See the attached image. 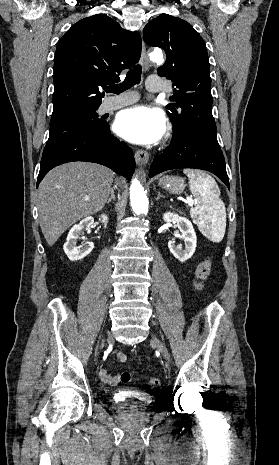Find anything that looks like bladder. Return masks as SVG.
<instances>
[{
    "label": "bladder",
    "mask_w": 279,
    "mask_h": 465,
    "mask_svg": "<svg viewBox=\"0 0 279 465\" xmlns=\"http://www.w3.org/2000/svg\"><path fill=\"white\" fill-rule=\"evenodd\" d=\"M114 403L125 413L136 414L154 405V398L150 394L141 392L117 391L113 397Z\"/></svg>",
    "instance_id": "31cf9c89"
}]
</instances>
